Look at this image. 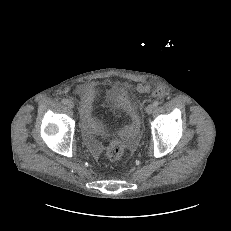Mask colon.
Returning <instances> with one entry per match:
<instances>
[{
    "instance_id": "colon-1",
    "label": "colon",
    "mask_w": 231,
    "mask_h": 231,
    "mask_svg": "<svg viewBox=\"0 0 231 231\" xmlns=\"http://www.w3.org/2000/svg\"><path fill=\"white\" fill-rule=\"evenodd\" d=\"M137 89L140 92H147L149 91V86L147 84H140L137 86ZM126 88L123 86H116L114 88V93L118 96H121L124 100V108L130 113L133 119L134 125L138 124V119L134 113V110L132 106L126 101L125 93H126ZM154 96L156 97H162L163 96V90L160 87H157L156 90L154 91ZM125 151V144L121 139H113L110 141L107 149H106V157L109 161H117L119 160L122 155L124 154Z\"/></svg>"
}]
</instances>
